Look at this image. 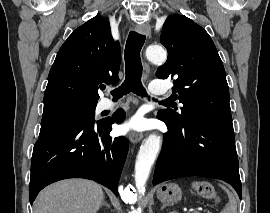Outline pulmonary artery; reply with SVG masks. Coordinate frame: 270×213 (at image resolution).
I'll return each mask as SVG.
<instances>
[{
	"label": "pulmonary artery",
	"instance_id": "e3ab8cb5",
	"mask_svg": "<svg viewBox=\"0 0 270 213\" xmlns=\"http://www.w3.org/2000/svg\"><path fill=\"white\" fill-rule=\"evenodd\" d=\"M150 91L155 96L165 95L168 92L167 83L164 81H158V80L153 81L150 86ZM115 105L116 104L113 101L107 100L105 101L103 107L105 109H110V108H113Z\"/></svg>",
	"mask_w": 270,
	"mask_h": 213
}]
</instances>
